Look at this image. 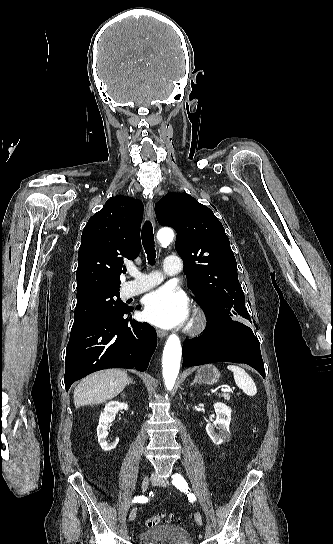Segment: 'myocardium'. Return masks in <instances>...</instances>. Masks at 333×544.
Masks as SVG:
<instances>
[{"label":"myocardium","mask_w":333,"mask_h":544,"mask_svg":"<svg viewBox=\"0 0 333 544\" xmlns=\"http://www.w3.org/2000/svg\"><path fill=\"white\" fill-rule=\"evenodd\" d=\"M206 326H207V317L205 313L200 308H196L194 310L192 320L190 323V331L192 333H200L206 328Z\"/></svg>","instance_id":"1"}]
</instances>
